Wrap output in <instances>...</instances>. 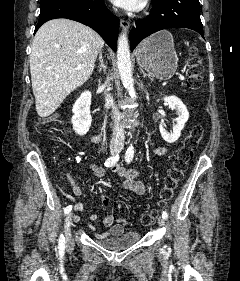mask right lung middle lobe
<instances>
[{
  "instance_id": "obj_1",
  "label": "right lung middle lobe",
  "mask_w": 240,
  "mask_h": 281,
  "mask_svg": "<svg viewBox=\"0 0 240 281\" xmlns=\"http://www.w3.org/2000/svg\"><path fill=\"white\" fill-rule=\"evenodd\" d=\"M46 1H49V0H40V4H41V3H44V2H46Z\"/></svg>"
}]
</instances>
